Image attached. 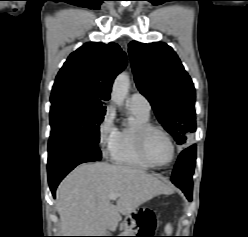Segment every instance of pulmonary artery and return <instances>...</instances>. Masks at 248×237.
<instances>
[{
    "label": "pulmonary artery",
    "instance_id": "obj_1",
    "mask_svg": "<svg viewBox=\"0 0 248 237\" xmlns=\"http://www.w3.org/2000/svg\"><path fill=\"white\" fill-rule=\"evenodd\" d=\"M128 105L129 107H135L145 112H150L151 105L148 99L139 92L133 93L128 98Z\"/></svg>",
    "mask_w": 248,
    "mask_h": 237
}]
</instances>
